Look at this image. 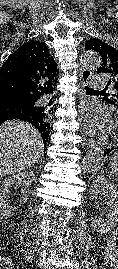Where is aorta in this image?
Returning <instances> with one entry per match:
<instances>
[{"mask_svg": "<svg viewBox=\"0 0 118 269\" xmlns=\"http://www.w3.org/2000/svg\"><path fill=\"white\" fill-rule=\"evenodd\" d=\"M81 63L85 67L97 68L101 65V57L95 52L88 51L82 54ZM103 160V149L100 146L94 145L85 154L81 163V169L86 174H94L101 168Z\"/></svg>", "mask_w": 118, "mask_h": 269, "instance_id": "1", "label": "aorta"}]
</instances>
